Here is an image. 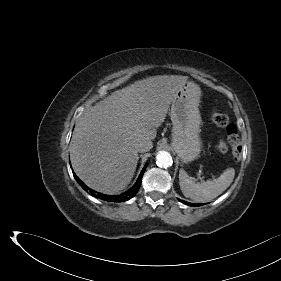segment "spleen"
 Segmentation results:
<instances>
[{"label":"spleen","mask_w":281,"mask_h":281,"mask_svg":"<svg viewBox=\"0 0 281 281\" xmlns=\"http://www.w3.org/2000/svg\"><path fill=\"white\" fill-rule=\"evenodd\" d=\"M234 176L235 170L228 168L216 179L196 183L186 171L181 169L179 171V184L185 197L194 202L205 203L222 194L231 185Z\"/></svg>","instance_id":"1"}]
</instances>
